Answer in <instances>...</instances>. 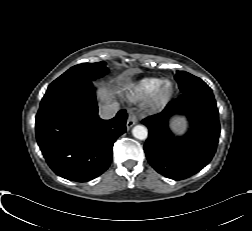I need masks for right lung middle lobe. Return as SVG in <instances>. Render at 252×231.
I'll use <instances>...</instances> for the list:
<instances>
[{
  "mask_svg": "<svg viewBox=\"0 0 252 231\" xmlns=\"http://www.w3.org/2000/svg\"><path fill=\"white\" fill-rule=\"evenodd\" d=\"M105 65V62H97L82 63L71 67L49 85L46 93L78 83L91 82L100 78L108 73Z\"/></svg>",
  "mask_w": 252,
  "mask_h": 231,
  "instance_id": "right-lung-middle-lobe-1",
  "label": "right lung middle lobe"
}]
</instances>
